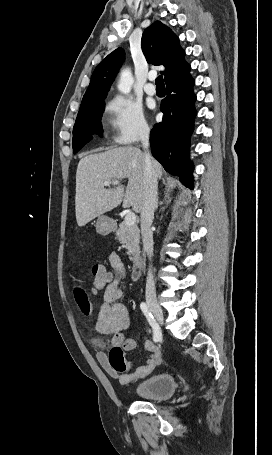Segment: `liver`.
<instances>
[{
	"mask_svg": "<svg viewBox=\"0 0 272 455\" xmlns=\"http://www.w3.org/2000/svg\"><path fill=\"white\" fill-rule=\"evenodd\" d=\"M157 178H161L162 166L152 159ZM144 154L135 147H115L105 152L83 157L76 172L75 212L78 226H85L94 218L111 211L123 202L141 212L144 195ZM128 179L123 185L104 188V182Z\"/></svg>",
	"mask_w": 272,
	"mask_h": 455,
	"instance_id": "1",
	"label": "liver"
}]
</instances>
